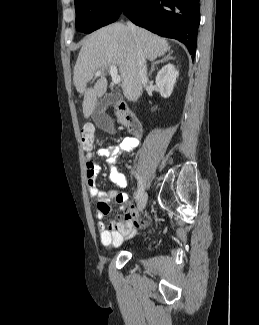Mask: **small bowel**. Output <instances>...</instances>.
Listing matches in <instances>:
<instances>
[{
  "label": "small bowel",
  "instance_id": "1",
  "mask_svg": "<svg viewBox=\"0 0 259 325\" xmlns=\"http://www.w3.org/2000/svg\"><path fill=\"white\" fill-rule=\"evenodd\" d=\"M138 138L124 137L119 144L102 147L96 153L89 152L86 160V175L88 191L97 202V230L100 242L105 247H118L122 242L133 236L143 224V220L137 219V213L133 206L127 204L128 197L120 189L126 187L125 175L119 171L115 163L122 152H130L137 148ZM95 156L105 157L108 165L109 180L117 187L110 191H101L97 186V177L101 167ZM112 202L120 204V209L125 210L117 220L111 221L108 228L100 221L110 210Z\"/></svg>",
  "mask_w": 259,
  "mask_h": 325
}]
</instances>
